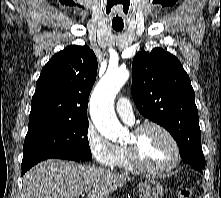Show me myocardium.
<instances>
[{
    "label": "myocardium",
    "instance_id": "f54148a6",
    "mask_svg": "<svg viewBox=\"0 0 221 198\" xmlns=\"http://www.w3.org/2000/svg\"><path fill=\"white\" fill-rule=\"evenodd\" d=\"M149 128H154V129L161 131L170 140L172 144L173 152H174L173 159L165 167H162V168L148 167L144 165L139 158L137 147H136V139L140 136L142 132H144L145 130ZM131 134L134 140L131 143H126L124 146L126 149L129 162L135 170L145 173V174H149V175L160 176V175L169 173L170 171H172L173 169L177 167L181 158L180 146L175 136L165 126H163L160 123L153 122V121L144 122L135 126L132 129Z\"/></svg>",
    "mask_w": 221,
    "mask_h": 198
}]
</instances>
